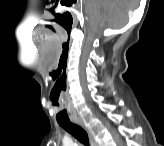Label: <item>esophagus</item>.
Returning <instances> with one entry per match:
<instances>
[{
    "mask_svg": "<svg viewBox=\"0 0 164 146\" xmlns=\"http://www.w3.org/2000/svg\"><path fill=\"white\" fill-rule=\"evenodd\" d=\"M72 121L77 125L81 126L83 129H85L88 132L91 146H97V142L95 141L91 132L87 129L84 121L81 118H74Z\"/></svg>",
    "mask_w": 164,
    "mask_h": 146,
    "instance_id": "34e87169",
    "label": "esophagus"
}]
</instances>
